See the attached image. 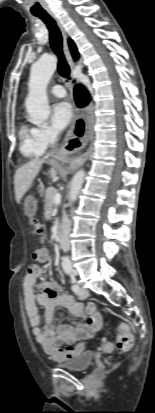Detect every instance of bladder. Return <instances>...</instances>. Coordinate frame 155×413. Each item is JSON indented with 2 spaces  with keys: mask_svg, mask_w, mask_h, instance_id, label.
<instances>
[{
  "mask_svg": "<svg viewBox=\"0 0 155 413\" xmlns=\"http://www.w3.org/2000/svg\"><path fill=\"white\" fill-rule=\"evenodd\" d=\"M93 357L94 355L92 352H82L69 359L68 362L60 364L59 367L70 371L83 372L92 365Z\"/></svg>",
  "mask_w": 155,
  "mask_h": 413,
  "instance_id": "obj_1",
  "label": "bladder"
}]
</instances>
